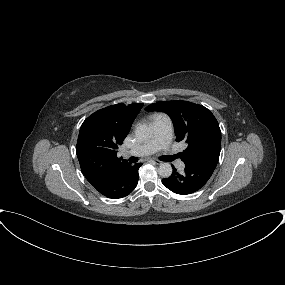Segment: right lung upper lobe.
Segmentation results:
<instances>
[{
	"mask_svg": "<svg viewBox=\"0 0 285 285\" xmlns=\"http://www.w3.org/2000/svg\"><path fill=\"white\" fill-rule=\"evenodd\" d=\"M142 106V103L108 106L93 113L81 125L76 154L81 170L91 185L130 165L117 157V149Z\"/></svg>",
	"mask_w": 285,
	"mask_h": 285,
	"instance_id": "cb5924a9",
	"label": "right lung upper lobe"
}]
</instances>
